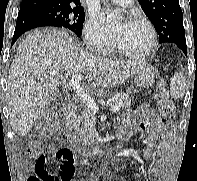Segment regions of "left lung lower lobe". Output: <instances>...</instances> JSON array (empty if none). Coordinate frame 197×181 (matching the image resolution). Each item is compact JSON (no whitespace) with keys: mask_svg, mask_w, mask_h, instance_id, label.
Wrapping results in <instances>:
<instances>
[{"mask_svg":"<svg viewBox=\"0 0 197 181\" xmlns=\"http://www.w3.org/2000/svg\"><path fill=\"white\" fill-rule=\"evenodd\" d=\"M176 45L184 52L185 55H187V45H186V43H178Z\"/></svg>","mask_w":197,"mask_h":181,"instance_id":"1","label":"left lung lower lobe"}]
</instances>
